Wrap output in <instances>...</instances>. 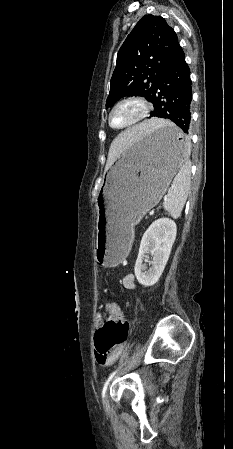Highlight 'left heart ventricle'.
I'll use <instances>...</instances> for the list:
<instances>
[{
  "mask_svg": "<svg viewBox=\"0 0 233 449\" xmlns=\"http://www.w3.org/2000/svg\"><path fill=\"white\" fill-rule=\"evenodd\" d=\"M140 107L136 103H127L118 107L112 114V124L123 126L134 120L139 114Z\"/></svg>",
  "mask_w": 233,
  "mask_h": 449,
  "instance_id": "b2bd125f",
  "label": "left heart ventricle"
}]
</instances>
